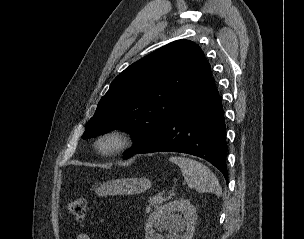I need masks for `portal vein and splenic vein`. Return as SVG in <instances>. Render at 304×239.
I'll return each mask as SVG.
<instances>
[{"label": "portal vein and splenic vein", "mask_w": 304, "mask_h": 239, "mask_svg": "<svg viewBox=\"0 0 304 239\" xmlns=\"http://www.w3.org/2000/svg\"><path fill=\"white\" fill-rule=\"evenodd\" d=\"M169 194H170V195H174L175 193H174V192H170Z\"/></svg>", "instance_id": "portal-vein-and-splenic-vein-1"}]
</instances>
